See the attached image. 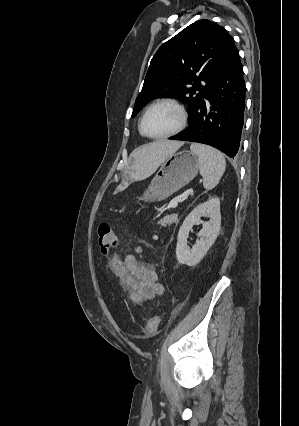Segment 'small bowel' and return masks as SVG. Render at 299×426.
<instances>
[{
	"instance_id": "small-bowel-1",
	"label": "small bowel",
	"mask_w": 299,
	"mask_h": 426,
	"mask_svg": "<svg viewBox=\"0 0 299 426\" xmlns=\"http://www.w3.org/2000/svg\"><path fill=\"white\" fill-rule=\"evenodd\" d=\"M109 268L135 303L151 300L163 292L155 267L152 264L140 262L132 254L124 258L119 255L112 256Z\"/></svg>"
}]
</instances>
